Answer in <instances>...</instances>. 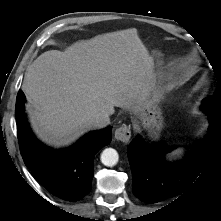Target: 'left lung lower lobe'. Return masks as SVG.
Masks as SVG:
<instances>
[{
  "mask_svg": "<svg viewBox=\"0 0 221 221\" xmlns=\"http://www.w3.org/2000/svg\"><path fill=\"white\" fill-rule=\"evenodd\" d=\"M206 114L209 128L204 142L183 161L166 162L156 144L146 145L140 136L132 140L127 149L132 189L141 201L155 203L174 197L193 185L205 171L216 146L221 145V113Z\"/></svg>",
  "mask_w": 221,
  "mask_h": 221,
  "instance_id": "0a47b994",
  "label": "left lung lower lobe"
}]
</instances>
